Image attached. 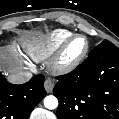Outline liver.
<instances>
[{"mask_svg":"<svg viewBox=\"0 0 119 119\" xmlns=\"http://www.w3.org/2000/svg\"><path fill=\"white\" fill-rule=\"evenodd\" d=\"M3 67L6 74L21 70V61L13 54L10 48H0V68Z\"/></svg>","mask_w":119,"mask_h":119,"instance_id":"1","label":"liver"}]
</instances>
